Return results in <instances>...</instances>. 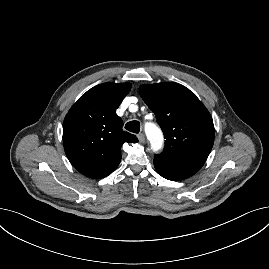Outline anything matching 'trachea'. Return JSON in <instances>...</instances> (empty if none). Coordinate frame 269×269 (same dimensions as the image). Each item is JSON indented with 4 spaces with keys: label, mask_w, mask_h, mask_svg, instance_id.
Wrapping results in <instances>:
<instances>
[{
    "label": "trachea",
    "mask_w": 269,
    "mask_h": 269,
    "mask_svg": "<svg viewBox=\"0 0 269 269\" xmlns=\"http://www.w3.org/2000/svg\"><path fill=\"white\" fill-rule=\"evenodd\" d=\"M125 129L132 133L138 134L140 131V123L136 120L130 121L126 123Z\"/></svg>",
    "instance_id": "trachea-1"
}]
</instances>
